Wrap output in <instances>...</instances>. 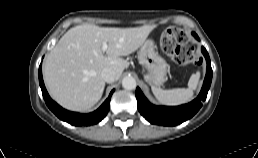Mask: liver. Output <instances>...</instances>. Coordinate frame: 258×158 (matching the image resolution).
Here are the masks:
<instances>
[{"instance_id":"6515ba94","label":"liver","mask_w":258,"mask_h":158,"mask_svg":"<svg viewBox=\"0 0 258 158\" xmlns=\"http://www.w3.org/2000/svg\"><path fill=\"white\" fill-rule=\"evenodd\" d=\"M154 26L109 28L83 24L69 29L48 54L43 69L51 97L62 107L85 111L102 97L104 68H111L117 79L128 62L121 58L135 52L146 41ZM107 44L106 55L102 50Z\"/></svg>"}]
</instances>
